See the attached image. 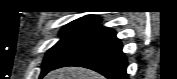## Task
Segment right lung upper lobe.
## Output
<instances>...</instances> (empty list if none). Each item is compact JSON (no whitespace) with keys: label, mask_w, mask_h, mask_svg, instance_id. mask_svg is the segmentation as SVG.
<instances>
[{"label":"right lung upper lobe","mask_w":177,"mask_h":79,"mask_svg":"<svg viewBox=\"0 0 177 79\" xmlns=\"http://www.w3.org/2000/svg\"><path fill=\"white\" fill-rule=\"evenodd\" d=\"M93 18H98V17L92 16V15H87V16H84V17L79 18V19H77V20H85V19H93ZM75 21H76V20H75Z\"/></svg>","instance_id":"right-lung-upper-lobe-1"}]
</instances>
